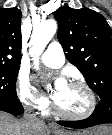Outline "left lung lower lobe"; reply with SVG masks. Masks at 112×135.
<instances>
[{
  "mask_svg": "<svg viewBox=\"0 0 112 135\" xmlns=\"http://www.w3.org/2000/svg\"><path fill=\"white\" fill-rule=\"evenodd\" d=\"M112 123V97L101 99L93 114L79 121H58V124L70 128H88L99 124Z\"/></svg>",
  "mask_w": 112,
  "mask_h": 135,
  "instance_id": "0a47b994",
  "label": "left lung lower lobe"
}]
</instances>
